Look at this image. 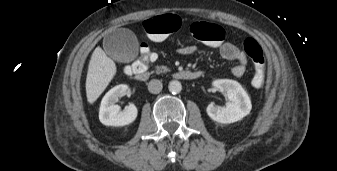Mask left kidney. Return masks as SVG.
Here are the masks:
<instances>
[{"label": "left kidney", "mask_w": 337, "mask_h": 171, "mask_svg": "<svg viewBox=\"0 0 337 171\" xmlns=\"http://www.w3.org/2000/svg\"><path fill=\"white\" fill-rule=\"evenodd\" d=\"M213 86L224 92L229 102L224 107L213 103L208 105L206 111L212 120L230 124L241 120L250 113L252 109L250 98L237 81L219 79L213 82Z\"/></svg>", "instance_id": "obj_1"}]
</instances>
